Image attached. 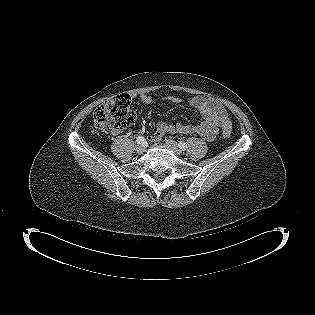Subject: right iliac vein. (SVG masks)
I'll return each instance as SVG.
<instances>
[{
    "label": "right iliac vein",
    "instance_id": "right-iliac-vein-1",
    "mask_svg": "<svg viewBox=\"0 0 315 315\" xmlns=\"http://www.w3.org/2000/svg\"><path fill=\"white\" fill-rule=\"evenodd\" d=\"M135 150L137 153L141 154L144 152L145 148L143 145H137Z\"/></svg>",
    "mask_w": 315,
    "mask_h": 315
}]
</instances>
